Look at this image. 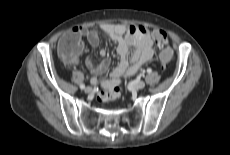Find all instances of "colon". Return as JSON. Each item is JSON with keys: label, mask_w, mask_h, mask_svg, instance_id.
<instances>
[{"label": "colon", "mask_w": 230, "mask_h": 155, "mask_svg": "<svg viewBox=\"0 0 230 155\" xmlns=\"http://www.w3.org/2000/svg\"><path fill=\"white\" fill-rule=\"evenodd\" d=\"M153 38L157 45L161 48L160 61L164 66L172 58V49L167 46V35L162 30H155L153 32ZM79 46V38L76 35L70 34L61 40L59 44V54L66 61H72L75 58L76 49ZM121 97V90L118 86H115L107 91H101L97 94V100L99 102L115 101Z\"/></svg>", "instance_id": "colon-1"}]
</instances>
